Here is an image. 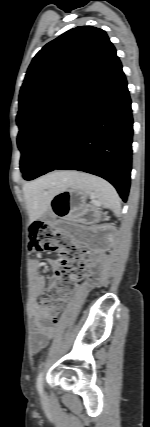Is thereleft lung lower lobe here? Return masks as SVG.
<instances>
[{
  "instance_id": "1",
  "label": "left lung lower lobe",
  "mask_w": 150,
  "mask_h": 427,
  "mask_svg": "<svg viewBox=\"0 0 150 427\" xmlns=\"http://www.w3.org/2000/svg\"><path fill=\"white\" fill-rule=\"evenodd\" d=\"M132 126L127 82L115 56L49 125L23 178L32 180L55 169L84 171L109 181L126 201Z\"/></svg>"
}]
</instances>
